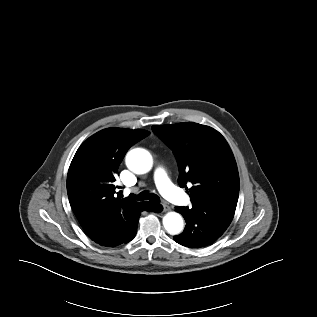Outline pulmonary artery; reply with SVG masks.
<instances>
[{"label":"pulmonary artery","mask_w":317,"mask_h":317,"mask_svg":"<svg viewBox=\"0 0 317 317\" xmlns=\"http://www.w3.org/2000/svg\"><path fill=\"white\" fill-rule=\"evenodd\" d=\"M154 180L159 191L168 200L179 205H186L190 202L189 197L171 182L163 167L156 168Z\"/></svg>","instance_id":"pulmonary-artery-1"}]
</instances>
